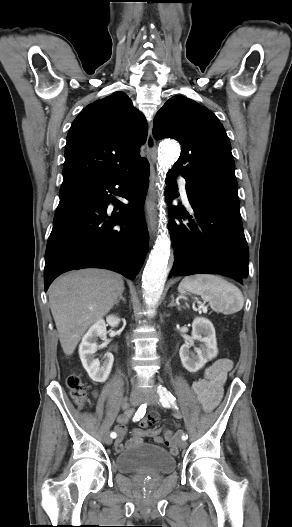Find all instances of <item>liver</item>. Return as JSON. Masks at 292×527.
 Wrapping results in <instances>:
<instances>
[{"mask_svg":"<svg viewBox=\"0 0 292 527\" xmlns=\"http://www.w3.org/2000/svg\"><path fill=\"white\" fill-rule=\"evenodd\" d=\"M124 291L122 277L103 269H82L60 276L48 290L61 347L72 355L85 331L113 308Z\"/></svg>","mask_w":292,"mask_h":527,"instance_id":"obj_1","label":"liver"}]
</instances>
